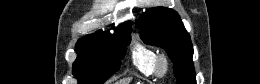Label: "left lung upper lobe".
<instances>
[{
  "label": "left lung upper lobe",
  "instance_id": "left-lung-upper-lobe-1",
  "mask_svg": "<svg viewBox=\"0 0 260 84\" xmlns=\"http://www.w3.org/2000/svg\"><path fill=\"white\" fill-rule=\"evenodd\" d=\"M141 39L146 44L164 48L174 63L178 84H196L192 62L193 47L183 23L172 9L155 7L141 15L136 22Z\"/></svg>",
  "mask_w": 260,
  "mask_h": 84
}]
</instances>
